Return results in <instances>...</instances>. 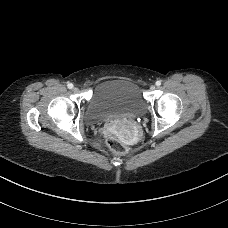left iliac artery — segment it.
Wrapping results in <instances>:
<instances>
[{
  "mask_svg": "<svg viewBox=\"0 0 228 228\" xmlns=\"http://www.w3.org/2000/svg\"><path fill=\"white\" fill-rule=\"evenodd\" d=\"M156 85H157V86H160V85H161V81H159V80L156 81Z\"/></svg>",
  "mask_w": 228,
  "mask_h": 228,
  "instance_id": "left-iliac-artery-1",
  "label": "left iliac artery"
}]
</instances>
